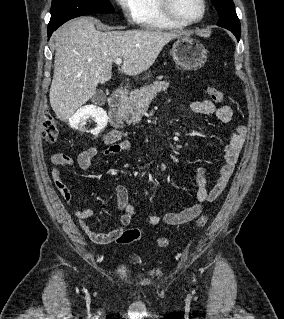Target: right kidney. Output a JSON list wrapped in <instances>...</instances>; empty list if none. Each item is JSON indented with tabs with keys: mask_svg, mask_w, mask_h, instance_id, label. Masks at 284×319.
Returning <instances> with one entry per match:
<instances>
[{
	"mask_svg": "<svg viewBox=\"0 0 284 319\" xmlns=\"http://www.w3.org/2000/svg\"><path fill=\"white\" fill-rule=\"evenodd\" d=\"M89 117L95 118L97 122L96 130L98 132L102 130L107 124L108 118L106 112L103 109L97 108L92 105L81 107L72 117L70 124L72 127L76 128H78V126L83 127Z\"/></svg>",
	"mask_w": 284,
	"mask_h": 319,
	"instance_id": "ca27d5eb",
	"label": "right kidney"
}]
</instances>
